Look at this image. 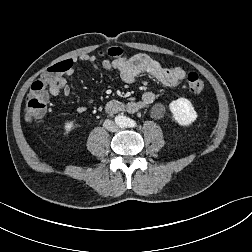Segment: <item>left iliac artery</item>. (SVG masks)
Returning <instances> with one entry per match:
<instances>
[{
	"label": "left iliac artery",
	"mask_w": 252,
	"mask_h": 252,
	"mask_svg": "<svg viewBox=\"0 0 252 252\" xmlns=\"http://www.w3.org/2000/svg\"><path fill=\"white\" fill-rule=\"evenodd\" d=\"M131 127H135L136 126V122L135 121H130V124H129Z\"/></svg>",
	"instance_id": "obj_1"
}]
</instances>
